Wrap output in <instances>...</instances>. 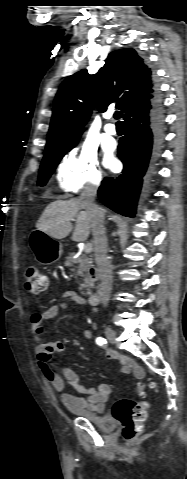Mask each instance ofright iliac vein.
Instances as JSON below:
<instances>
[{"mask_svg":"<svg viewBox=\"0 0 187 479\" xmlns=\"http://www.w3.org/2000/svg\"><path fill=\"white\" fill-rule=\"evenodd\" d=\"M105 335L110 342L115 343L116 332L111 327H109V326L105 327Z\"/></svg>","mask_w":187,"mask_h":479,"instance_id":"63e3f726","label":"right iliac vein"}]
</instances>
